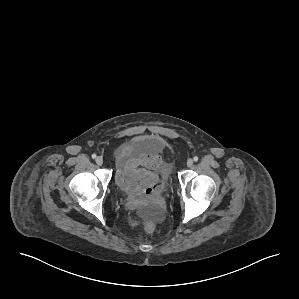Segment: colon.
Instances as JSON below:
<instances>
[{"label": "colon", "instance_id": "colon-1", "mask_svg": "<svg viewBox=\"0 0 299 299\" xmlns=\"http://www.w3.org/2000/svg\"><path fill=\"white\" fill-rule=\"evenodd\" d=\"M134 223H137L136 220H133ZM155 229V226L153 223L151 222H147L145 223V231L148 232V233H152Z\"/></svg>", "mask_w": 299, "mask_h": 299}]
</instances>
